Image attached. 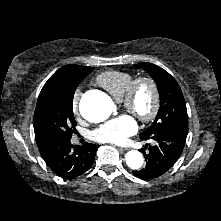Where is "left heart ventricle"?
Instances as JSON below:
<instances>
[{"instance_id":"obj_1","label":"left heart ventricle","mask_w":221,"mask_h":221,"mask_svg":"<svg viewBox=\"0 0 221 221\" xmlns=\"http://www.w3.org/2000/svg\"><path fill=\"white\" fill-rule=\"evenodd\" d=\"M134 108L142 114L149 112L152 105L151 90L146 84L140 85L134 96Z\"/></svg>"}]
</instances>
